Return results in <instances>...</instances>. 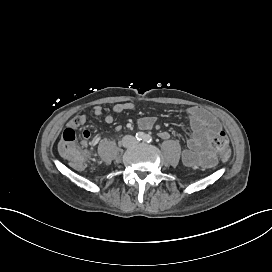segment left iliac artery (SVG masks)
<instances>
[{
	"instance_id": "obj_1",
	"label": "left iliac artery",
	"mask_w": 272,
	"mask_h": 272,
	"mask_svg": "<svg viewBox=\"0 0 272 272\" xmlns=\"http://www.w3.org/2000/svg\"><path fill=\"white\" fill-rule=\"evenodd\" d=\"M144 141L147 143H151V142H153V138L150 135L146 134Z\"/></svg>"
}]
</instances>
